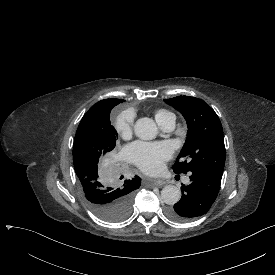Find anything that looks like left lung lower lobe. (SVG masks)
Returning <instances> with one entry per match:
<instances>
[{
	"mask_svg": "<svg viewBox=\"0 0 275 275\" xmlns=\"http://www.w3.org/2000/svg\"><path fill=\"white\" fill-rule=\"evenodd\" d=\"M189 185H182V197L174 207L167 209V215L174 221L185 222L204 215L214 203L222 175L207 172H190Z\"/></svg>",
	"mask_w": 275,
	"mask_h": 275,
	"instance_id": "1",
	"label": "left lung lower lobe"
}]
</instances>
